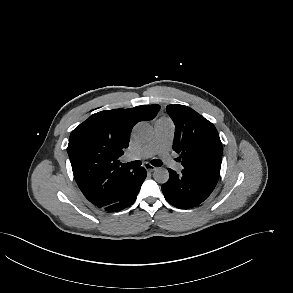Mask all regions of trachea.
Segmentation results:
<instances>
[{"instance_id":"obj_1","label":"trachea","mask_w":293,"mask_h":293,"mask_svg":"<svg viewBox=\"0 0 293 293\" xmlns=\"http://www.w3.org/2000/svg\"><path fill=\"white\" fill-rule=\"evenodd\" d=\"M151 164L153 166L160 167V166L163 165V162L161 160H159V159H153L151 161ZM121 165H122L123 168H138L139 166H141V162L137 160V161L129 162V163H126V164L121 163Z\"/></svg>"}]
</instances>
